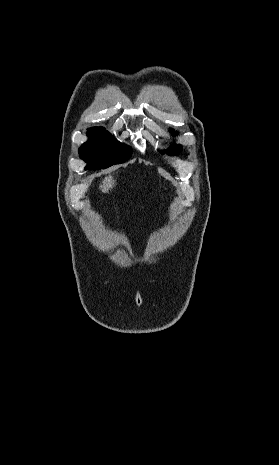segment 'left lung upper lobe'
<instances>
[{"mask_svg": "<svg viewBox=\"0 0 279 465\" xmlns=\"http://www.w3.org/2000/svg\"><path fill=\"white\" fill-rule=\"evenodd\" d=\"M182 147L177 145V146H172L170 149L167 150L169 155H177L181 152Z\"/></svg>", "mask_w": 279, "mask_h": 465, "instance_id": "obj_1", "label": "left lung upper lobe"}]
</instances>
